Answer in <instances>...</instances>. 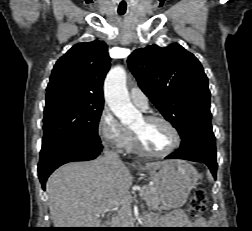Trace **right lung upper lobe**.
<instances>
[{"mask_svg": "<svg viewBox=\"0 0 252 231\" xmlns=\"http://www.w3.org/2000/svg\"><path fill=\"white\" fill-rule=\"evenodd\" d=\"M110 68L107 45L102 41L74 45L55 64L46 99L69 96L103 103V82Z\"/></svg>", "mask_w": 252, "mask_h": 231, "instance_id": "right-lung-upper-lobe-1", "label": "right lung upper lobe"}]
</instances>
